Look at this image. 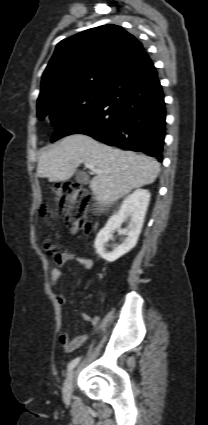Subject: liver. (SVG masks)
Wrapping results in <instances>:
<instances>
[{"label":"liver","instance_id":"liver-1","mask_svg":"<svg viewBox=\"0 0 208 425\" xmlns=\"http://www.w3.org/2000/svg\"><path fill=\"white\" fill-rule=\"evenodd\" d=\"M86 162L101 170L91 180L90 189L103 206L113 204L135 188L152 184L160 171V164L152 157L112 148L87 135L73 134L41 153L37 176L50 182L65 181Z\"/></svg>","mask_w":208,"mask_h":425}]
</instances>
